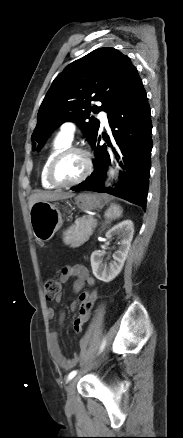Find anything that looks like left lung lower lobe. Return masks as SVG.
Here are the masks:
<instances>
[{
	"instance_id": "obj_1",
	"label": "left lung lower lobe",
	"mask_w": 183,
	"mask_h": 438,
	"mask_svg": "<svg viewBox=\"0 0 183 438\" xmlns=\"http://www.w3.org/2000/svg\"><path fill=\"white\" fill-rule=\"evenodd\" d=\"M108 120L111 128H118L112 133L123 155L120 166L124 172H121L120 182L114 189L104 188L103 180L110 156L105 146H97L94 148V172L72 190L107 192L145 209L151 168L152 123L146 92L139 76L108 111ZM104 139L111 146L110 140ZM96 141L97 137L91 145H95Z\"/></svg>"
}]
</instances>
